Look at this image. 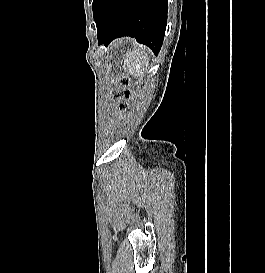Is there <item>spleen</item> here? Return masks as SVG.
Returning <instances> with one entry per match:
<instances>
[{"mask_svg":"<svg viewBox=\"0 0 265 273\" xmlns=\"http://www.w3.org/2000/svg\"><path fill=\"white\" fill-rule=\"evenodd\" d=\"M129 72L135 76H141L149 64V57L144 47H136L129 56Z\"/></svg>","mask_w":265,"mask_h":273,"instance_id":"spleen-1","label":"spleen"}]
</instances>
